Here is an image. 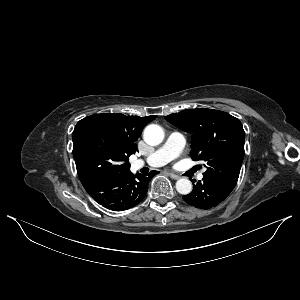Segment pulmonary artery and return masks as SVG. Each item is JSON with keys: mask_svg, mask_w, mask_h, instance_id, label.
I'll return each instance as SVG.
<instances>
[{"mask_svg": "<svg viewBox=\"0 0 300 300\" xmlns=\"http://www.w3.org/2000/svg\"><path fill=\"white\" fill-rule=\"evenodd\" d=\"M185 145L186 140L183 135L178 132H172L168 135L165 143L154 153L145 159L135 160L132 163V168L137 170L145 165L150 167L163 166L177 158L182 153ZM198 179H203L202 173L198 175Z\"/></svg>", "mask_w": 300, "mask_h": 300, "instance_id": "e3ab8cb5", "label": "pulmonary artery"}]
</instances>
